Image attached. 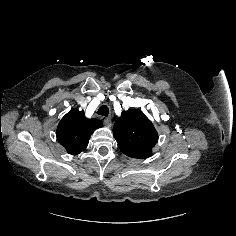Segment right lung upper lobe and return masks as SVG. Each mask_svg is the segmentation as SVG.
Listing matches in <instances>:
<instances>
[{"label":"right lung upper lobe","instance_id":"cb5924a9","mask_svg":"<svg viewBox=\"0 0 236 236\" xmlns=\"http://www.w3.org/2000/svg\"><path fill=\"white\" fill-rule=\"evenodd\" d=\"M102 126L97 119H88L84 112L73 108L58 124L57 140L69 154L76 155L86 149L92 133Z\"/></svg>","mask_w":236,"mask_h":236}]
</instances>
